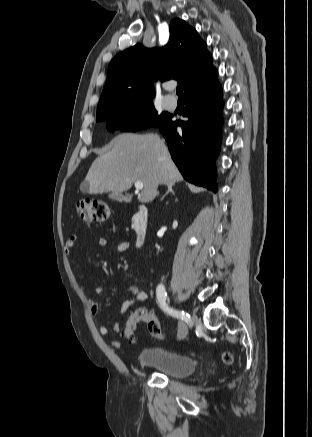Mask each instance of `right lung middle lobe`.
Returning <instances> with one entry per match:
<instances>
[{
    "mask_svg": "<svg viewBox=\"0 0 312 437\" xmlns=\"http://www.w3.org/2000/svg\"><path fill=\"white\" fill-rule=\"evenodd\" d=\"M171 119L170 114H157L152 102L124 106L111 114L96 118V121H107V129L111 132L136 131L147 127H161Z\"/></svg>",
    "mask_w": 312,
    "mask_h": 437,
    "instance_id": "right-lung-middle-lobe-1",
    "label": "right lung middle lobe"
}]
</instances>
